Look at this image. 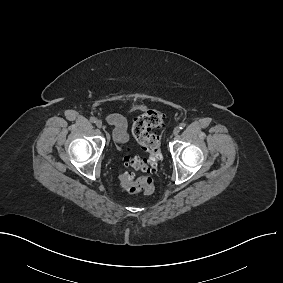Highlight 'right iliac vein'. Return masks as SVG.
Masks as SVG:
<instances>
[{
    "mask_svg": "<svg viewBox=\"0 0 283 283\" xmlns=\"http://www.w3.org/2000/svg\"><path fill=\"white\" fill-rule=\"evenodd\" d=\"M96 126H97L98 128H101V127H102V122H101L100 120H97V121H96Z\"/></svg>",
    "mask_w": 283,
    "mask_h": 283,
    "instance_id": "1",
    "label": "right iliac vein"
}]
</instances>
